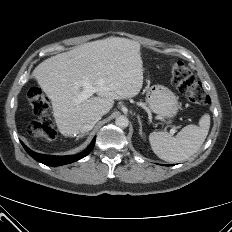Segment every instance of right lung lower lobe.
<instances>
[{
    "label": "right lung lower lobe",
    "instance_id": "1",
    "mask_svg": "<svg viewBox=\"0 0 232 232\" xmlns=\"http://www.w3.org/2000/svg\"><path fill=\"white\" fill-rule=\"evenodd\" d=\"M21 144L24 147V149L27 151V153L31 157H33L35 160H37L38 162H41L48 166H59V165H64V164L75 162L87 156L92 150V148L94 147L95 138L92 140L89 148L86 151L80 154H77V155H72V156H51V155L38 154L30 150L23 142H21Z\"/></svg>",
    "mask_w": 232,
    "mask_h": 232
}]
</instances>
